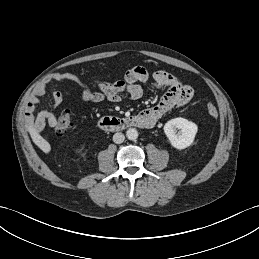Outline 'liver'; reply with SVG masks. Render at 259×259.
I'll return each instance as SVG.
<instances>
[{
    "label": "liver",
    "mask_w": 259,
    "mask_h": 259,
    "mask_svg": "<svg viewBox=\"0 0 259 259\" xmlns=\"http://www.w3.org/2000/svg\"><path fill=\"white\" fill-rule=\"evenodd\" d=\"M28 131L33 142L44 152L49 153L51 150L50 143L39 134L37 127L33 123H29Z\"/></svg>",
    "instance_id": "obj_1"
}]
</instances>
